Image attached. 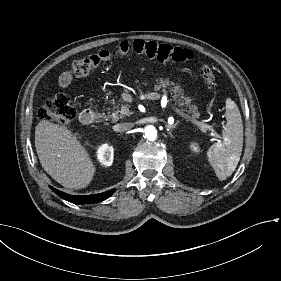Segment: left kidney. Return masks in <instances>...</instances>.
Segmentation results:
<instances>
[{"instance_id": "5707ae66", "label": "left kidney", "mask_w": 281, "mask_h": 281, "mask_svg": "<svg viewBox=\"0 0 281 281\" xmlns=\"http://www.w3.org/2000/svg\"><path fill=\"white\" fill-rule=\"evenodd\" d=\"M191 149H193L194 151H198V150H199L198 142L194 141V142L191 144Z\"/></svg>"}]
</instances>
